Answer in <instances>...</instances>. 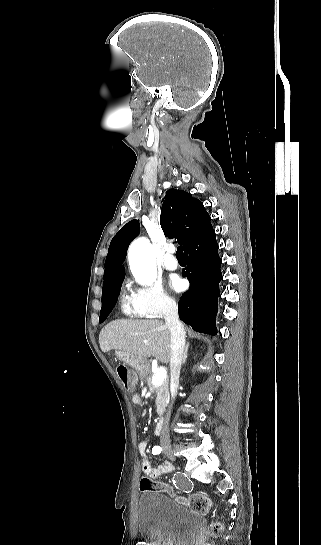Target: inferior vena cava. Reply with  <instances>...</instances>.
<instances>
[{
	"instance_id": "inferior-vena-cava-1",
	"label": "inferior vena cava",
	"mask_w": 321,
	"mask_h": 545,
	"mask_svg": "<svg viewBox=\"0 0 321 545\" xmlns=\"http://www.w3.org/2000/svg\"><path fill=\"white\" fill-rule=\"evenodd\" d=\"M164 319L170 329L172 357L170 359V393L175 399L179 387V375L185 349V331L178 319L177 305L173 299H167L164 305ZM170 409L163 421L160 443L163 450L171 449L172 444L169 437Z\"/></svg>"
}]
</instances>
